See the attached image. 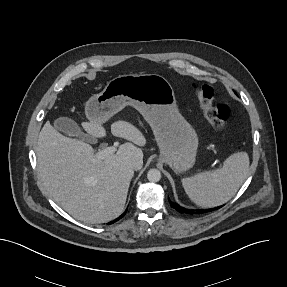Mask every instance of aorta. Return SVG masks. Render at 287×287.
<instances>
[{"instance_id": "aorta-1", "label": "aorta", "mask_w": 287, "mask_h": 287, "mask_svg": "<svg viewBox=\"0 0 287 287\" xmlns=\"http://www.w3.org/2000/svg\"><path fill=\"white\" fill-rule=\"evenodd\" d=\"M150 182H158L161 179V172L158 169H150L147 173Z\"/></svg>"}]
</instances>
